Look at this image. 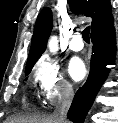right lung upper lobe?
Wrapping results in <instances>:
<instances>
[{
  "instance_id": "obj_1",
  "label": "right lung upper lobe",
  "mask_w": 118,
  "mask_h": 123,
  "mask_svg": "<svg viewBox=\"0 0 118 123\" xmlns=\"http://www.w3.org/2000/svg\"><path fill=\"white\" fill-rule=\"evenodd\" d=\"M68 3L75 14H84L92 18L91 37H95L113 26L109 0H68ZM51 29L52 12L50 8H44L35 23L26 70L32 69L45 51Z\"/></svg>"
}]
</instances>
